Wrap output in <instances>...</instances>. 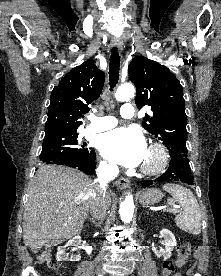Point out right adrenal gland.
Masks as SVG:
<instances>
[{
    "mask_svg": "<svg viewBox=\"0 0 221 276\" xmlns=\"http://www.w3.org/2000/svg\"><path fill=\"white\" fill-rule=\"evenodd\" d=\"M88 220L94 224L96 227H100L101 226V223L100 222H96V221H93L91 218H88Z\"/></svg>",
    "mask_w": 221,
    "mask_h": 276,
    "instance_id": "2a0ac1e0",
    "label": "right adrenal gland"
}]
</instances>
